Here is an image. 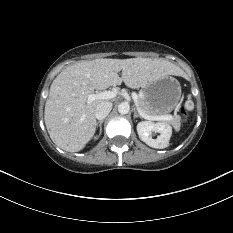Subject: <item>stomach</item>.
I'll list each match as a JSON object with an SVG mask.
<instances>
[{"instance_id": "1", "label": "stomach", "mask_w": 233, "mask_h": 233, "mask_svg": "<svg viewBox=\"0 0 233 233\" xmlns=\"http://www.w3.org/2000/svg\"><path fill=\"white\" fill-rule=\"evenodd\" d=\"M144 98L151 110L157 114L170 113L181 97V87L175 78L165 76L143 88Z\"/></svg>"}]
</instances>
